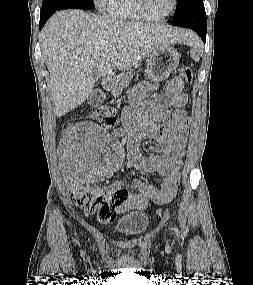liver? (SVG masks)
<instances>
[{
    "mask_svg": "<svg viewBox=\"0 0 253 285\" xmlns=\"http://www.w3.org/2000/svg\"><path fill=\"white\" fill-rule=\"evenodd\" d=\"M41 35L55 114L61 117L88 98L94 69L99 76L129 69L162 45L188 42L192 33L72 9L54 14Z\"/></svg>",
    "mask_w": 253,
    "mask_h": 285,
    "instance_id": "obj_1",
    "label": "liver"
}]
</instances>
